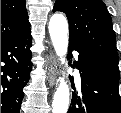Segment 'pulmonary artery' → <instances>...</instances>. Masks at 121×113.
Segmentation results:
<instances>
[{
	"instance_id": "1",
	"label": "pulmonary artery",
	"mask_w": 121,
	"mask_h": 113,
	"mask_svg": "<svg viewBox=\"0 0 121 113\" xmlns=\"http://www.w3.org/2000/svg\"><path fill=\"white\" fill-rule=\"evenodd\" d=\"M76 73H77V76H78V78H79V71H78V70H76Z\"/></svg>"
}]
</instances>
